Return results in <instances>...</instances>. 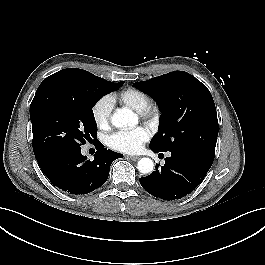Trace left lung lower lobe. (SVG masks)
Wrapping results in <instances>:
<instances>
[{
    "mask_svg": "<svg viewBox=\"0 0 265 265\" xmlns=\"http://www.w3.org/2000/svg\"><path fill=\"white\" fill-rule=\"evenodd\" d=\"M212 163L213 160L196 152L174 151L170 157L165 158V165L161 169L156 165L151 175L140 178V184L156 198L181 199L203 181Z\"/></svg>",
    "mask_w": 265,
    "mask_h": 265,
    "instance_id": "obj_1",
    "label": "left lung lower lobe"
}]
</instances>
